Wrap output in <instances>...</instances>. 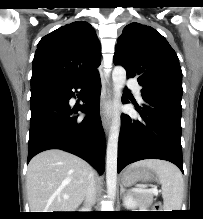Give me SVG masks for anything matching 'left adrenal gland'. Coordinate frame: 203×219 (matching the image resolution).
Returning a JSON list of instances; mask_svg holds the SVG:
<instances>
[{
	"label": "left adrenal gland",
	"instance_id": "left-adrenal-gland-1",
	"mask_svg": "<svg viewBox=\"0 0 203 219\" xmlns=\"http://www.w3.org/2000/svg\"><path fill=\"white\" fill-rule=\"evenodd\" d=\"M126 191L125 187L123 184L120 185V194L122 195Z\"/></svg>",
	"mask_w": 203,
	"mask_h": 219
}]
</instances>
